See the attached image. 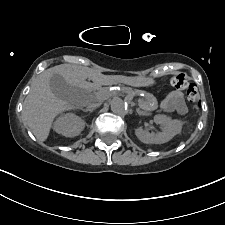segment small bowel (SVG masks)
<instances>
[{"instance_id":"1","label":"small bowel","mask_w":225,"mask_h":225,"mask_svg":"<svg viewBox=\"0 0 225 225\" xmlns=\"http://www.w3.org/2000/svg\"><path fill=\"white\" fill-rule=\"evenodd\" d=\"M161 108L168 113L176 112L179 115L186 114L187 105L183 93L180 91L168 92Z\"/></svg>"}]
</instances>
